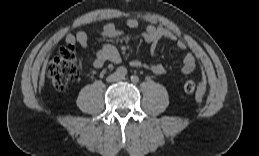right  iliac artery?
<instances>
[{
  "label": "right iliac artery",
  "mask_w": 259,
  "mask_h": 156,
  "mask_svg": "<svg viewBox=\"0 0 259 156\" xmlns=\"http://www.w3.org/2000/svg\"><path fill=\"white\" fill-rule=\"evenodd\" d=\"M116 74L119 75V76H125L127 74V69L123 66L118 67L116 69Z\"/></svg>",
  "instance_id": "82829eb1"
}]
</instances>
